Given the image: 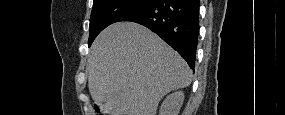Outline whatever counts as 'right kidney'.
Instances as JSON below:
<instances>
[{
	"mask_svg": "<svg viewBox=\"0 0 285 115\" xmlns=\"http://www.w3.org/2000/svg\"><path fill=\"white\" fill-rule=\"evenodd\" d=\"M184 101L182 91L174 92L168 95L160 107V115H178Z\"/></svg>",
	"mask_w": 285,
	"mask_h": 115,
	"instance_id": "obj_1",
	"label": "right kidney"
}]
</instances>
